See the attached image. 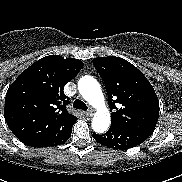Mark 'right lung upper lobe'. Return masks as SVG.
Instances as JSON below:
<instances>
[{"label": "right lung upper lobe", "instance_id": "obj_1", "mask_svg": "<svg viewBox=\"0 0 182 182\" xmlns=\"http://www.w3.org/2000/svg\"><path fill=\"white\" fill-rule=\"evenodd\" d=\"M83 62L49 55L24 70L5 97V120L23 143L53 137L71 128L77 117L70 114L65 84L80 72Z\"/></svg>", "mask_w": 182, "mask_h": 182}]
</instances>
